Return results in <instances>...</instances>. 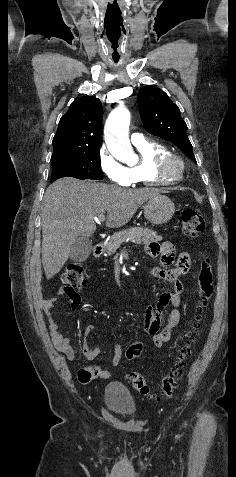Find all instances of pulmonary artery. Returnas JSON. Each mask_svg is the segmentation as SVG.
Returning <instances> with one entry per match:
<instances>
[{
    "mask_svg": "<svg viewBox=\"0 0 236 477\" xmlns=\"http://www.w3.org/2000/svg\"><path fill=\"white\" fill-rule=\"evenodd\" d=\"M144 136L142 133H139V132H133L131 134V142L136 145V144H139L140 142L144 141Z\"/></svg>",
    "mask_w": 236,
    "mask_h": 477,
    "instance_id": "pulmonary-artery-1",
    "label": "pulmonary artery"
}]
</instances>
